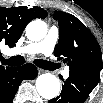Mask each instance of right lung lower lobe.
Returning <instances> with one entry per match:
<instances>
[{"label": "right lung lower lobe", "mask_w": 103, "mask_h": 103, "mask_svg": "<svg viewBox=\"0 0 103 103\" xmlns=\"http://www.w3.org/2000/svg\"><path fill=\"white\" fill-rule=\"evenodd\" d=\"M36 76V67L29 63L0 71V103H11L20 83L24 79H34Z\"/></svg>", "instance_id": "1"}]
</instances>
